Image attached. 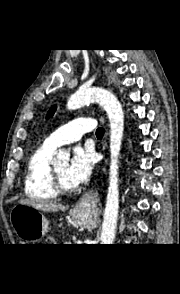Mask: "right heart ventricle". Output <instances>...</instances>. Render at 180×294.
Here are the masks:
<instances>
[{
    "label": "right heart ventricle",
    "mask_w": 180,
    "mask_h": 294,
    "mask_svg": "<svg viewBox=\"0 0 180 294\" xmlns=\"http://www.w3.org/2000/svg\"><path fill=\"white\" fill-rule=\"evenodd\" d=\"M55 148L43 143L30 156L25 182V194L31 198L43 201L56 199L57 194L52 188L51 158Z\"/></svg>",
    "instance_id": "e07e8e85"
}]
</instances>
